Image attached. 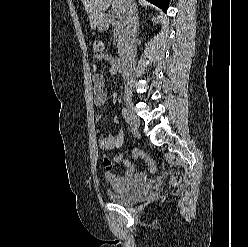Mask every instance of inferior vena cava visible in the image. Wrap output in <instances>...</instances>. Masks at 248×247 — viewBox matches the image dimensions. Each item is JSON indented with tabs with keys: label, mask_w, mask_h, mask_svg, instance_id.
I'll return each mask as SVG.
<instances>
[{
	"label": "inferior vena cava",
	"mask_w": 248,
	"mask_h": 247,
	"mask_svg": "<svg viewBox=\"0 0 248 247\" xmlns=\"http://www.w3.org/2000/svg\"><path fill=\"white\" fill-rule=\"evenodd\" d=\"M124 20L127 26V33L129 37V56L134 59L136 55V33H137V6L135 0H124Z\"/></svg>",
	"instance_id": "obj_1"
}]
</instances>
